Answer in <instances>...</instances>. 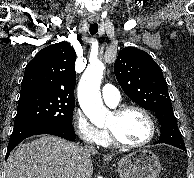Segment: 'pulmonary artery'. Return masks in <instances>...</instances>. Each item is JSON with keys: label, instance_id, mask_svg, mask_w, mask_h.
Wrapping results in <instances>:
<instances>
[{"label": "pulmonary artery", "instance_id": "pulmonary-artery-1", "mask_svg": "<svg viewBox=\"0 0 194 178\" xmlns=\"http://www.w3.org/2000/svg\"><path fill=\"white\" fill-rule=\"evenodd\" d=\"M102 98L110 106H116L120 102V93L111 84H105L102 88Z\"/></svg>", "mask_w": 194, "mask_h": 178}]
</instances>
